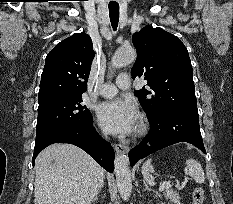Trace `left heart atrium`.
Returning <instances> with one entry per match:
<instances>
[{"instance_id": "left-heart-atrium-1", "label": "left heart atrium", "mask_w": 233, "mask_h": 204, "mask_svg": "<svg viewBox=\"0 0 233 204\" xmlns=\"http://www.w3.org/2000/svg\"><path fill=\"white\" fill-rule=\"evenodd\" d=\"M100 126L114 135L125 136L133 132L137 122V111L131 101L113 99L97 107Z\"/></svg>"}]
</instances>
